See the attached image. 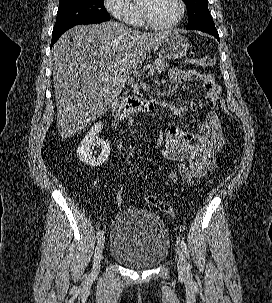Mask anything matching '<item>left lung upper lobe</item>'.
I'll list each match as a JSON object with an SVG mask.
<instances>
[{
	"instance_id": "obj_1",
	"label": "left lung upper lobe",
	"mask_w": 272,
	"mask_h": 303,
	"mask_svg": "<svg viewBox=\"0 0 272 303\" xmlns=\"http://www.w3.org/2000/svg\"><path fill=\"white\" fill-rule=\"evenodd\" d=\"M187 6L189 22L187 29L215 27L208 9V0H183Z\"/></svg>"
}]
</instances>
